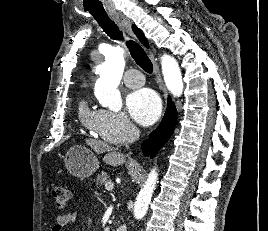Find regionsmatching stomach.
<instances>
[{
	"instance_id": "1",
	"label": "stomach",
	"mask_w": 268,
	"mask_h": 231,
	"mask_svg": "<svg viewBox=\"0 0 268 231\" xmlns=\"http://www.w3.org/2000/svg\"><path fill=\"white\" fill-rule=\"evenodd\" d=\"M68 172L80 179L88 178L99 168L95 154L86 146H72L64 156Z\"/></svg>"
}]
</instances>
